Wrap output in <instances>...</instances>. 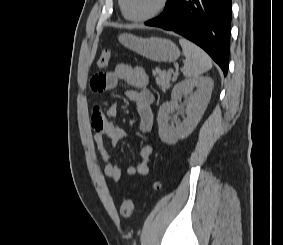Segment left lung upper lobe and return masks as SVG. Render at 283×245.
<instances>
[{"label":"left lung upper lobe","instance_id":"5c2ea615","mask_svg":"<svg viewBox=\"0 0 283 245\" xmlns=\"http://www.w3.org/2000/svg\"><path fill=\"white\" fill-rule=\"evenodd\" d=\"M171 1H172V0H168L167 3H166V6H167L169 3H171Z\"/></svg>","mask_w":283,"mask_h":245}]
</instances>
